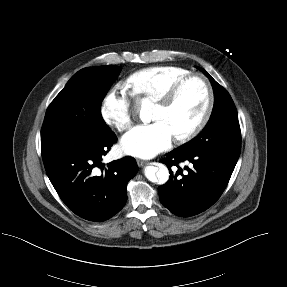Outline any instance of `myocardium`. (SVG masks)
<instances>
[{
	"label": "myocardium",
	"mask_w": 287,
	"mask_h": 287,
	"mask_svg": "<svg viewBox=\"0 0 287 287\" xmlns=\"http://www.w3.org/2000/svg\"><path fill=\"white\" fill-rule=\"evenodd\" d=\"M192 79H199L204 84L206 91H207V95H208L207 105H206L205 111L201 119L191 130H189L183 135L174 137L175 141L178 143H186L194 139L196 136H198L203 131V129L208 124L211 118L213 109H214V104H215L214 89L210 81L204 75L200 73H189L185 75L184 77L180 78L178 81H176L170 87V89L159 100L156 101V105H158L159 107L164 108V109L170 108L175 103L184 85Z\"/></svg>",
	"instance_id": "myocardium-1"
}]
</instances>
